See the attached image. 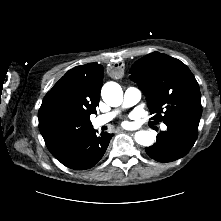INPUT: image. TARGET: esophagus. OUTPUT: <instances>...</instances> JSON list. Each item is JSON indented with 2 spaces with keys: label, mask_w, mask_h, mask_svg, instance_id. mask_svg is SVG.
<instances>
[{
  "label": "esophagus",
  "mask_w": 221,
  "mask_h": 221,
  "mask_svg": "<svg viewBox=\"0 0 221 221\" xmlns=\"http://www.w3.org/2000/svg\"><path fill=\"white\" fill-rule=\"evenodd\" d=\"M122 132H123V130H121ZM124 132H126V131H124ZM128 134H133L132 132H128Z\"/></svg>",
  "instance_id": "1"
}]
</instances>
